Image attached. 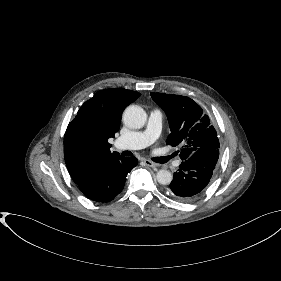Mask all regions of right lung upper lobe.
<instances>
[{
  "label": "right lung upper lobe",
  "instance_id": "cb5924a9",
  "mask_svg": "<svg viewBox=\"0 0 281 281\" xmlns=\"http://www.w3.org/2000/svg\"><path fill=\"white\" fill-rule=\"evenodd\" d=\"M140 93L123 88L98 91L79 109L64 135V155L73 181L80 185L108 159L111 153L108 139L114 137L123 110L140 97Z\"/></svg>",
  "mask_w": 281,
  "mask_h": 281
}]
</instances>
